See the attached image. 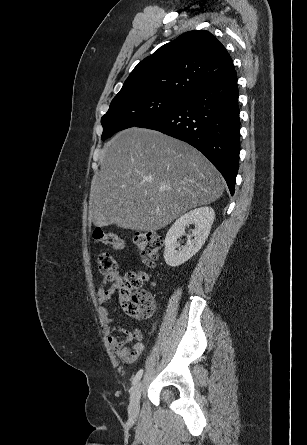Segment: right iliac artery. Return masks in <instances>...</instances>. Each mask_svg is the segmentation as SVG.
I'll use <instances>...</instances> for the list:
<instances>
[{
	"label": "right iliac artery",
	"instance_id": "82829eb1",
	"mask_svg": "<svg viewBox=\"0 0 307 445\" xmlns=\"http://www.w3.org/2000/svg\"><path fill=\"white\" fill-rule=\"evenodd\" d=\"M142 374H143V369H140L132 381L133 385H135L141 379Z\"/></svg>",
	"mask_w": 307,
	"mask_h": 445
}]
</instances>
